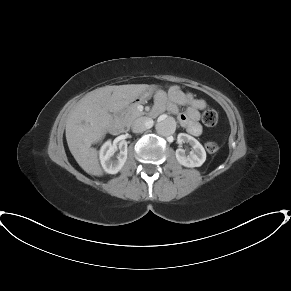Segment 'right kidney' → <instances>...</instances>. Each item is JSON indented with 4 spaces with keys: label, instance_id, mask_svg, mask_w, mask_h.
<instances>
[{
    "label": "right kidney",
    "instance_id": "right-kidney-1",
    "mask_svg": "<svg viewBox=\"0 0 291 291\" xmlns=\"http://www.w3.org/2000/svg\"><path fill=\"white\" fill-rule=\"evenodd\" d=\"M118 145L120 153L117 155L116 159L113 158V155L117 150L116 144H112L111 141L108 140L101 146L99 158L106 173H118L127 160V143L125 141H121Z\"/></svg>",
    "mask_w": 291,
    "mask_h": 291
}]
</instances>
